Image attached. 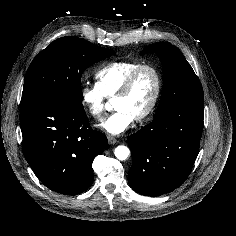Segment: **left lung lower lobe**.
<instances>
[{
  "label": "left lung lower lobe",
  "mask_w": 236,
  "mask_h": 236,
  "mask_svg": "<svg viewBox=\"0 0 236 236\" xmlns=\"http://www.w3.org/2000/svg\"><path fill=\"white\" fill-rule=\"evenodd\" d=\"M203 117L204 103L179 104L127 138L133 159L129 183L136 192L156 197L188 178L199 152Z\"/></svg>",
  "instance_id": "1"
}]
</instances>
